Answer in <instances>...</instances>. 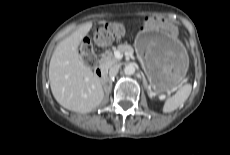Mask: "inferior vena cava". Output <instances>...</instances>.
<instances>
[{
	"mask_svg": "<svg viewBox=\"0 0 230 155\" xmlns=\"http://www.w3.org/2000/svg\"><path fill=\"white\" fill-rule=\"evenodd\" d=\"M119 71V66L118 65H115L113 66L112 68H110L109 70V76L112 78V77H115L117 75Z\"/></svg>",
	"mask_w": 230,
	"mask_h": 155,
	"instance_id": "602c4592",
	"label": "inferior vena cava"
}]
</instances>
